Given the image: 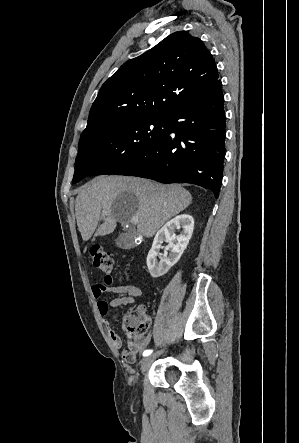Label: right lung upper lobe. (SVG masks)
Returning a JSON list of instances; mask_svg holds the SVG:
<instances>
[{"mask_svg": "<svg viewBox=\"0 0 299 443\" xmlns=\"http://www.w3.org/2000/svg\"><path fill=\"white\" fill-rule=\"evenodd\" d=\"M218 79L217 66L203 42L186 31L175 32L125 62L102 85L81 138L123 121L167 116Z\"/></svg>", "mask_w": 299, "mask_h": 443, "instance_id": "right-lung-upper-lobe-1", "label": "right lung upper lobe"}]
</instances>
